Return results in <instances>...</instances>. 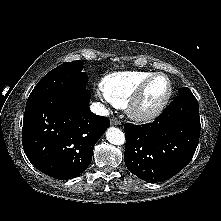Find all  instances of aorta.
Returning <instances> with one entry per match:
<instances>
[{
  "mask_svg": "<svg viewBox=\"0 0 221 221\" xmlns=\"http://www.w3.org/2000/svg\"><path fill=\"white\" fill-rule=\"evenodd\" d=\"M106 138L109 143L114 145H122L125 143V135L119 128H108L106 131Z\"/></svg>",
  "mask_w": 221,
  "mask_h": 221,
  "instance_id": "762f6f07",
  "label": "aorta"
}]
</instances>
